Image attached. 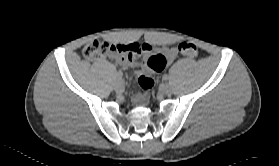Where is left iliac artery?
<instances>
[{
	"mask_svg": "<svg viewBox=\"0 0 279 166\" xmlns=\"http://www.w3.org/2000/svg\"><path fill=\"white\" fill-rule=\"evenodd\" d=\"M163 79H164V80H168V79H169V76H168L167 74H165V75L163 76Z\"/></svg>",
	"mask_w": 279,
	"mask_h": 166,
	"instance_id": "44dca946",
	"label": "left iliac artery"
}]
</instances>
